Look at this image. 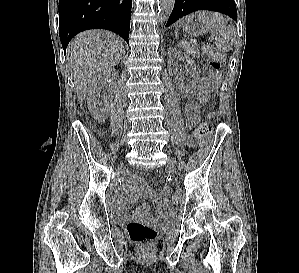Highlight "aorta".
Wrapping results in <instances>:
<instances>
[{
	"instance_id": "obj_1",
	"label": "aorta",
	"mask_w": 299,
	"mask_h": 273,
	"mask_svg": "<svg viewBox=\"0 0 299 273\" xmlns=\"http://www.w3.org/2000/svg\"><path fill=\"white\" fill-rule=\"evenodd\" d=\"M175 0H158V10L161 22L167 21L173 8Z\"/></svg>"
}]
</instances>
